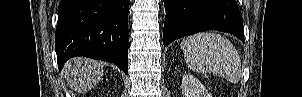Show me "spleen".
Returning <instances> with one entry per match:
<instances>
[{
	"instance_id": "3e777b00",
	"label": "spleen",
	"mask_w": 302,
	"mask_h": 97,
	"mask_svg": "<svg viewBox=\"0 0 302 97\" xmlns=\"http://www.w3.org/2000/svg\"><path fill=\"white\" fill-rule=\"evenodd\" d=\"M181 50L187 66L197 73H212L231 83L241 77V59L232 43L217 33L202 32L186 37Z\"/></svg>"
}]
</instances>
